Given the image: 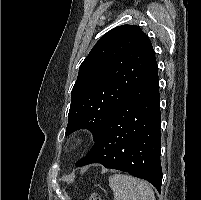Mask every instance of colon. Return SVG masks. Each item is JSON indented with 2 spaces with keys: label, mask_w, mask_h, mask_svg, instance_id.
<instances>
[{
  "label": "colon",
  "mask_w": 201,
  "mask_h": 200,
  "mask_svg": "<svg viewBox=\"0 0 201 200\" xmlns=\"http://www.w3.org/2000/svg\"><path fill=\"white\" fill-rule=\"evenodd\" d=\"M89 200H102V198L98 194L92 193L89 197Z\"/></svg>",
  "instance_id": "colon-1"
}]
</instances>
